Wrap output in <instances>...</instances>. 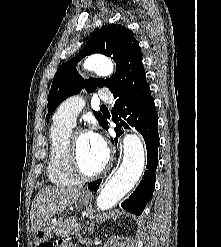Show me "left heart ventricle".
<instances>
[{
	"mask_svg": "<svg viewBox=\"0 0 221 247\" xmlns=\"http://www.w3.org/2000/svg\"><path fill=\"white\" fill-rule=\"evenodd\" d=\"M79 160L86 173L98 171L105 163V146L98 145L89 134H81L77 138Z\"/></svg>",
	"mask_w": 221,
	"mask_h": 247,
	"instance_id": "b2bd125f",
	"label": "left heart ventricle"
}]
</instances>
